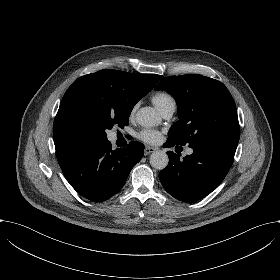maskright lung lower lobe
I'll return each instance as SVG.
<instances>
[{"mask_svg": "<svg viewBox=\"0 0 280 280\" xmlns=\"http://www.w3.org/2000/svg\"><path fill=\"white\" fill-rule=\"evenodd\" d=\"M143 149L139 142L115 151L108 140L92 142L72 150L58 162L65 178L80 195L101 202L121 190L131 169L142 158Z\"/></svg>", "mask_w": 280, "mask_h": 280, "instance_id": "1", "label": "right lung lower lobe"}]
</instances>
